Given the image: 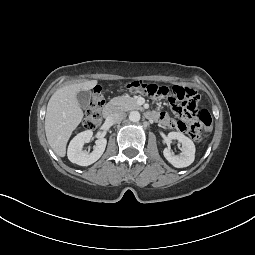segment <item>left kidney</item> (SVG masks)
<instances>
[{"label":"left kidney","mask_w":255,"mask_h":255,"mask_svg":"<svg viewBox=\"0 0 255 255\" xmlns=\"http://www.w3.org/2000/svg\"><path fill=\"white\" fill-rule=\"evenodd\" d=\"M168 140H178L182 144V153L174 155L169 149L165 148L163 151L164 157L169 163L176 168H183L191 165L195 159V145L193 141L181 132H170Z\"/></svg>","instance_id":"5707ae66"}]
</instances>
